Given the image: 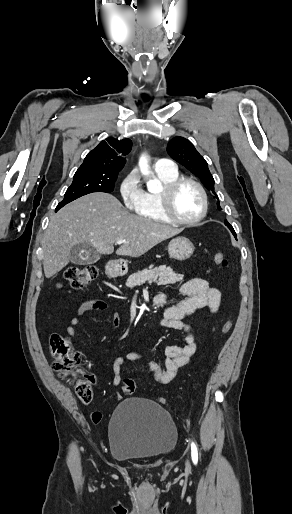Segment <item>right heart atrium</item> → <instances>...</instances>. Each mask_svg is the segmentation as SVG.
Wrapping results in <instances>:
<instances>
[{"label": "right heart atrium", "mask_w": 292, "mask_h": 514, "mask_svg": "<svg viewBox=\"0 0 292 514\" xmlns=\"http://www.w3.org/2000/svg\"><path fill=\"white\" fill-rule=\"evenodd\" d=\"M144 191L135 171L125 174L118 185L120 200H124V209H135L136 211L143 202Z\"/></svg>", "instance_id": "1"}]
</instances>
